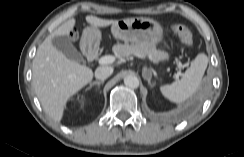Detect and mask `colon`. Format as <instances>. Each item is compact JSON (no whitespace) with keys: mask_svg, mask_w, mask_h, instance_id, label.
Here are the masks:
<instances>
[{"mask_svg":"<svg viewBox=\"0 0 244 157\" xmlns=\"http://www.w3.org/2000/svg\"><path fill=\"white\" fill-rule=\"evenodd\" d=\"M172 29L175 33L179 35V37L184 43H186L187 45L193 44V35L186 26L182 24H173Z\"/></svg>","mask_w":244,"mask_h":157,"instance_id":"colon-1","label":"colon"}]
</instances>
